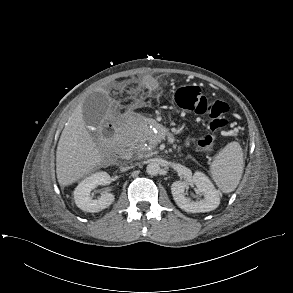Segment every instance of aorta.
<instances>
[{
    "instance_id": "aorta-1",
    "label": "aorta",
    "mask_w": 293,
    "mask_h": 293,
    "mask_svg": "<svg viewBox=\"0 0 293 293\" xmlns=\"http://www.w3.org/2000/svg\"><path fill=\"white\" fill-rule=\"evenodd\" d=\"M146 172L149 174V175H157L159 174L160 172V166L157 162H150L147 167H146Z\"/></svg>"
}]
</instances>
